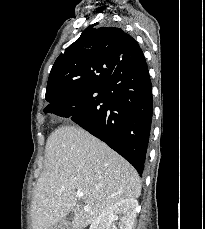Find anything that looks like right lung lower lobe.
I'll return each instance as SVG.
<instances>
[{
    "label": "right lung lower lobe",
    "instance_id": "1",
    "mask_svg": "<svg viewBox=\"0 0 205 229\" xmlns=\"http://www.w3.org/2000/svg\"><path fill=\"white\" fill-rule=\"evenodd\" d=\"M153 110L152 86L143 53L121 60L109 78L50 103L45 112L70 117L129 161L144 169Z\"/></svg>",
    "mask_w": 205,
    "mask_h": 229
}]
</instances>
